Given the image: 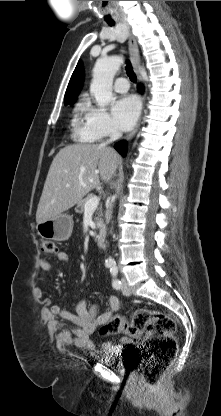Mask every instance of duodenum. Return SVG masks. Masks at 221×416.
Wrapping results in <instances>:
<instances>
[{
	"label": "duodenum",
	"mask_w": 221,
	"mask_h": 416,
	"mask_svg": "<svg viewBox=\"0 0 221 416\" xmlns=\"http://www.w3.org/2000/svg\"><path fill=\"white\" fill-rule=\"evenodd\" d=\"M106 238V227L104 225H99L96 235V241L99 246L104 244Z\"/></svg>",
	"instance_id": "410a0bca"
}]
</instances>
